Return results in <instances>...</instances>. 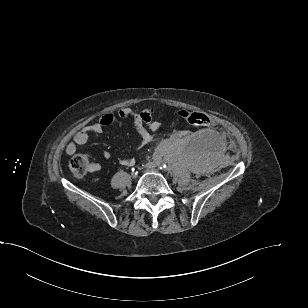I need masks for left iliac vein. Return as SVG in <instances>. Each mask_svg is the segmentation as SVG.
<instances>
[{
	"mask_svg": "<svg viewBox=\"0 0 308 308\" xmlns=\"http://www.w3.org/2000/svg\"><path fill=\"white\" fill-rule=\"evenodd\" d=\"M146 169H147V171L159 172V171L156 169V166H155L153 163H148V164L146 165Z\"/></svg>",
	"mask_w": 308,
	"mask_h": 308,
	"instance_id": "4c4485c4",
	"label": "left iliac vein"
}]
</instances>
